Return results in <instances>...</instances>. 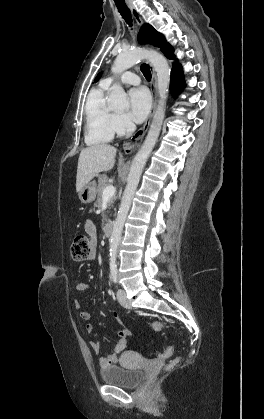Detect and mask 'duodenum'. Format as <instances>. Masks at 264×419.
I'll return each mask as SVG.
<instances>
[{"label": "duodenum", "mask_w": 264, "mask_h": 419, "mask_svg": "<svg viewBox=\"0 0 264 419\" xmlns=\"http://www.w3.org/2000/svg\"><path fill=\"white\" fill-rule=\"evenodd\" d=\"M113 230H114V222L113 221H108L107 223H105V225L103 227V233L106 237L111 236Z\"/></svg>", "instance_id": "1"}]
</instances>
